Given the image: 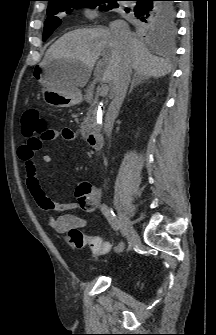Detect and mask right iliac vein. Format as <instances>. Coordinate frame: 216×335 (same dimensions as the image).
<instances>
[{
  "label": "right iliac vein",
  "instance_id": "right-iliac-vein-1",
  "mask_svg": "<svg viewBox=\"0 0 216 335\" xmlns=\"http://www.w3.org/2000/svg\"><path fill=\"white\" fill-rule=\"evenodd\" d=\"M120 225H121V235L123 237H127L129 234L132 233V226L130 219L124 213H121L120 215Z\"/></svg>",
  "mask_w": 216,
  "mask_h": 335
}]
</instances>
